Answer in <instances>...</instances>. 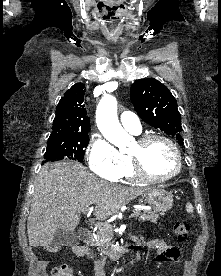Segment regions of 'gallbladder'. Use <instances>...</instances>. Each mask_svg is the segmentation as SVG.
Returning a JSON list of instances; mask_svg holds the SVG:
<instances>
[{
  "label": "gallbladder",
  "mask_w": 221,
  "mask_h": 276,
  "mask_svg": "<svg viewBox=\"0 0 221 276\" xmlns=\"http://www.w3.org/2000/svg\"><path fill=\"white\" fill-rule=\"evenodd\" d=\"M78 242V235L75 232H69L58 229L51 241L52 247L72 246Z\"/></svg>",
  "instance_id": "1"
}]
</instances>
